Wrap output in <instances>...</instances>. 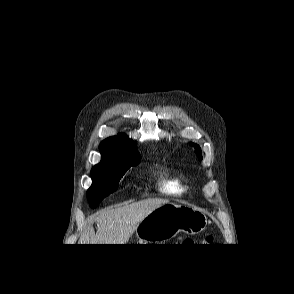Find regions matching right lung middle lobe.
I'll return each instance as SVG.
<instances>
[{
    "label": "right lung middle lobe",
    "instance_id": "obj_1",
    "mask_svg": "<svg viewBox=\"0 0 294 294\" xmlns=\"http://www.w3.org/2000/svg\"><path fill=\"white\" fill-rule=\"evenodd\" d=\"M139 162L140 159H107L95 165L91 170L92 185L88 189V198L92 206H97L103 198L114 192L127 170Z\"/></svg>",
    "mask_w": 294,
    "mask_h": 294
}]
</instances>
